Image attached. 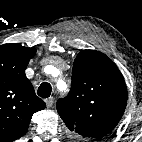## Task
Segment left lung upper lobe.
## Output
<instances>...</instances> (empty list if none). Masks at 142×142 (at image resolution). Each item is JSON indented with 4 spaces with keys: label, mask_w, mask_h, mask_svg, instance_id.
<instances>
[{
    "label": "left lung upper lobe",
    "mask_w": 142,
    "mask_h": 142,
    "mask_svg": "<svg viewBox=\"0 0 142 142\" xmlns=\"http://www.w3.org/2000/svg\"><path fill=\"white\" fill-rule=\"evenodd\" d=\"M126 102V84L115 63L102 52L83 50L73 64L70 92L56 107L76 138L88 141L117 126Z\"/></svg>",
    "instance_id": "left-lung-upper-lobe-1"
}]
</instances>
